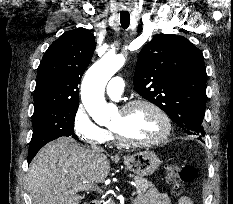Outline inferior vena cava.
Listing matches in <instances>:
<instances>
[{"label": "inferior vena cava", "mask_w": 233, "mask_h": 204, "mask_svg": "<svg viewBox=\"0 0 233 204\" xmlns=\"http://www.w3.org/2000/svg\"><path fill=\"white\" fill-rule=\"evenodd\" d=\"M92 150L93 152H95L96 154H102V152H104V150L102 148H100L99 146L93 145L92 146Z\"/></svg>", "instance_id": "inferior-vena-cava-1"}]
</instances>
